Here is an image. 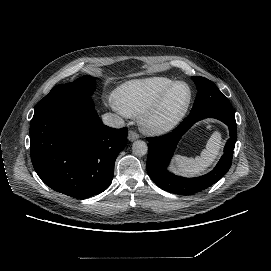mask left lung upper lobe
Returning <instances> with one entry per match:
<instances>
[{
	"mask_svg": "<svg viewBox=\"0 0 271 271\" xmlns=\"http://www.w3.org/2000/svg\"><path fill=\"white\" fill-rule=\"evenodd\" d=\"M197 86V96L190 113L201 111H221L233 113L232 105L217 86L201 76H192Z\"/></svg>",
	"mask_w": 271,
	"mask_h": 271,
	"instance_id": "left-lung-upper-lobe-1",
	"label": "left lung upper lobe"
}]
</instances>
